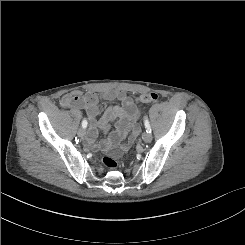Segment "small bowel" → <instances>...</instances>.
I'll use <instances>...</instances> for the list:
<instances>
[{
	"mask_svg": "<svg viewBox=\"0 0 245 245\" xmlns=\"http://www.w3.org/2000/svg\"><path fill=\"white\" fill-rule=\"evenodd\" d=\"M73 94H79L76 92ZM66 95L62 98V103L65 106L83 107L86 109L87 115L91 121V130L89 132V140L92 143L98 134V128L108 129L109 125L115 121V127L112 131L107 145L115 152L124 151L139 135L140 127L138 119L140 117V108L133 102L131 96L121 90H107L101 94L105 100H118L120 104H114L106 108L102 117L96 121L98 115V96L95 92L88 91L82 96V101L79 104H71L68 99L71 95ZM128 135L126 142L121 141Z\"/></svg>",
	"mask_w": 245,
	"mask_h": 245,
	"instance_id": "1",
	"label": "small bowel"
}]
</instances>
